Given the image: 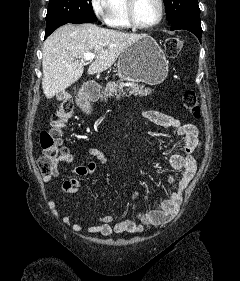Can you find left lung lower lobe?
Listing matches in <instances>:
<instances>
[{
  "instance_id": "left-lung-lower-lobe-1",
  "label": "left lung lower lobe",
  "mask_w": 240,
  "mask_h": 281,
  "mask_svg": "<svg viewBox=\"0 0 240 281\" xmlns=\"http://www.w3.org/2000/svg\"><path fill=\"white\" fill-rule=\"evenodd\" d=\"M184 29L192 32L201 42L202 28L200 21L184 20L171 26V30Z\"/></svg>"
}]
</instances>
